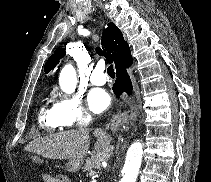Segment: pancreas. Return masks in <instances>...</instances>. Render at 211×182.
Wrapping results in <instances>:
<instances>
[{"label":"pancreas","mask_w":211,"mask_h":182,"mask_svg":"<svg viewBox=\"0 0 211 182\" xmlns=\"http://www.w3.org/2000/svg\"><path fill=\"white\" fill-rule=\"evenodd\" d=\"M109 151L110 149H107L105 151L96 153L90 158L86 159V163L82 168L83 172H86L87 174L92 176L91 173L94 172V169H99L101 162L107 159Z\"/></svg>","instance_id":"obj_1"}]
</instances>
